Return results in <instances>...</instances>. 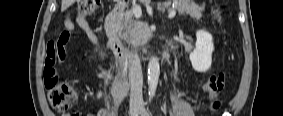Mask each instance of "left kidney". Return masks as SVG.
I'll return each instance as SVG.
<instances>
[{
	"mask_svg": "<svg viewBox=\"0 0 283 116\" xmlns=\"http://www.w3.org/2000/svg\"><path fill=\"white\" fill-rule=\"evenodd\" d=\"M196 37L195 48L190 52L189 58L195 71L206 72L212 64L213 37L204 30L197 31Z\"/></svg>",
	"mask_w": 283,
	"mask_h": 116,
	"instance_id": "1",
	"label": "left kidney"
}]
</instances>
